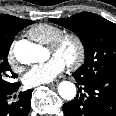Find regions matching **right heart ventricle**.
<instances>
[{
	"mask_svg": "<svg viewBox=\"0 0 116 116\" xmlns=\"http://www.w3.org/2000/svg\"><path fill=\"white\" fill-rule=\"evenodd\" d=\"M27 33L31 39L42 44L50 45L63 33V30L53 24L39 23L32 26Z\"/></svg>",
	"mask_w": 116,
	"mask_h": 116,
	"instance_id": "obj_1",
	"label": "right heart ventricle"
}]
</instances>
